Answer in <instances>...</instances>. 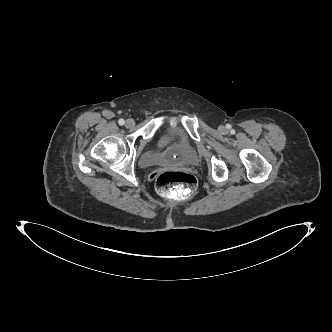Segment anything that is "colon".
Wrapping results in <instances>:
<instances>
[{"label":"colon","instance_id":"obj_1","mask_svg":"<svg viewBox=\"0 0 332 332\" xmlns=\"http://www.w3.org/2000/svg\"><path fill=\"white\" fill-rule=\"evenodd\" d=\"M157 191L169 197L183 199L192 195L197 188L195 176L185 171H161L154 175Z\"/></svg>","mask_w":332,"mask_h":332}]
</instances>
